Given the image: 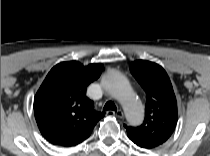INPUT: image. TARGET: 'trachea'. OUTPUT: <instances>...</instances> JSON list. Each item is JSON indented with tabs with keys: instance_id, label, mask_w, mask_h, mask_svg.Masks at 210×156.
Returning <instances> with one entry per match:
<instances>
[{
	"instance_id": "1",
	"label": "trachea",
	"mask_w": 210,
	"mask_h": 156,
	"mask_svg": "<svg viewBox=\"0 0 210 156\" xmlns=\"http://www.w3.org/2000/svg\"><path fill=\"white\" fill-rule=\"evenodd\" d=\"M104 109H115L116 107L113 103H106V105L104 106Z\"/></svg>"
}]
</instances>
